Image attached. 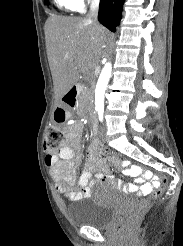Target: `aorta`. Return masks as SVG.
<instances>
[{
	"mask_svg": "<svg viewBox=\"0 0 183 246\" xmlns=\"http://www.w3.org/2000/svg\"><path fill=\"white\" fill-rule=\"evenodd\" d=\"M112 65L111 62H107L103 67L101 74L99 76L96 89H95V109H104V94L107 88L109 79L111 77Z\"/></svg>",
	"mask_w": 183,
	"mask_h": 246,
	"instance_id": "762f6f07",
	"label": "aorta"
}]
</instances>
